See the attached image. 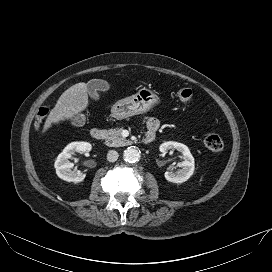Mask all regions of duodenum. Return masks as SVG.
Segmentation results:
<instances>
[{
	"label": "duodenum",
	"instance_id": "410a0bca",
	"mask_svg": "<svg viewBox=\"0 0 272 272\" xmlns=\"http://www.w3.org/2000/svg\"><path fill=\"white\" fill-rule=\"evenodd\" d=\"M90 135H91V137L94 140L99 141V140H102L104 138L105 132L101 128H93L90 131ZM154 138H155V134L154 133H148L144 137V143L145 144H149V143H151L154 140Z\"/></svg>",
	"mask_w": 272,
	"mask_h": 272
}]
</instances>
